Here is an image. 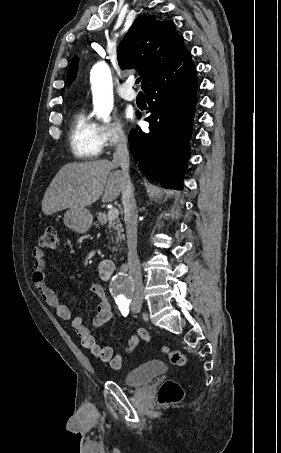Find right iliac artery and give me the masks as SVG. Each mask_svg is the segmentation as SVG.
Instances as JSON below:
<instances>
[{
	"label": "right iliac artery",
	"instance_id": "1",
	"mask_svg": "<svg viewBox=\"0 0 281 453\" xmlns=\"http://www.w3.org/2000/svg\"><path fill=\"white\" fill-rule=\"evenodd\" d=\"M119 310L121 311L122 315L124 317H126L129 313V305L128 304H124V305H119Z\"/></svg>",
	"mask_w": 281,
	"mask_h": 453
}]
</instances>
